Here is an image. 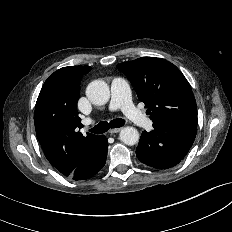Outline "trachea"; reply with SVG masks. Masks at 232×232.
I'll use <instances>...</instances> for the list:
<instances>
[{
	"label": "trachea",
	"mask_w": 232,
	"mask_h": 232,
	"mask_svg": "<svg viewBox=\"0 0 232 232\" xmlns=\"http://www.w3.org/2000/svg\"><path fill=\"white\" fill-rule=\"evenodd\" d=\"M125 124V120L121 118L114 119L109 123L106 121L98 123L95 127L91 128L89 131L95 134H102L109 130V128H119Z\"/></svg>",
	"instance_id": "1"
}]
</instances>
